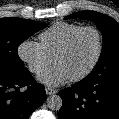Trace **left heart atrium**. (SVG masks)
<instances>
[{
  "label": "left heart atrium",
  "mask_w": 119,
  "mask_h": 119,
  "mask_svg": "<svg viewBox=\"0 0 119 119\" xmlns=\"http://www.w3.org/2000/svg\"><path fill=\"white\" fill-rule=\"evenodd\" d=\"M38 79L46 85L58 86L69 80L70 77L62 67L55 64L43 71Z\"/></svg>",
  "instance_id": "left-heart-atrium-1"
}]
</instances>
